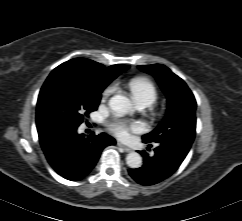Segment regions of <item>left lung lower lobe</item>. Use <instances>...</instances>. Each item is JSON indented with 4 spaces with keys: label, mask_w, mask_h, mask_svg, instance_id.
<instances>
[{
    "label": "left lung lower lobe",
    "mask_w": 242,
    "mask_h": 221,
    "mask_svg": "<svg viewBox=\"0 0 242 221\" xmlns=\"http://www.w3.org/2000/svg\"><path fill=\"white\" fill-rule=\"evenodd\" d=\"M190 147L177 142L157 143L154 154L140 151L144 159L142 167L129 169L130 176L141 185H154L171 176L181 165Z\"/></svg>",
    "instance_id": "obj_1"
}]
</instances>
